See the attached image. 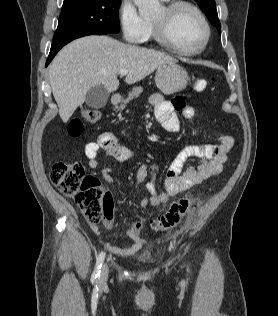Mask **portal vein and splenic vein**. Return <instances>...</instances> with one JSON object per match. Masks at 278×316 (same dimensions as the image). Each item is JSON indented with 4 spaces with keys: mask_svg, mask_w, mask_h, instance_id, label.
Masks as SVG:
<instances>
[{
    "mask_svg": "<svg viewBox=\"0 0 278 316\" xmlns=\"http://www.w3.org/2000/svg\"><path fill=\"white\" fill-rule=\"evenodd\" d=\"M128 72H129V71H128V70H125V69H124V70H121V71H120V75H122V76L127 75Z\"/></svg>",
    "mask_w": 278,
    "mask_h": 316,
    "instance_id": "obj_1",
    "label": "portal vein and splenic vein"
}]
</instances>
